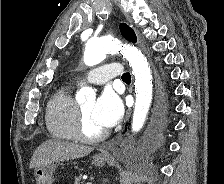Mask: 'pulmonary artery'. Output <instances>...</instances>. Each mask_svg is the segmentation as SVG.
<instances>
[{
    "label": "pulmonary artery",
    "mask_w": 224,
    "mask_h": 184,
    "mask_svg": "<svg viewBox=\"0 0 224 184\" xmlns=\"http://www.w3.org/2000/svg\"><path fill=\"white\" fill-rule=\"evenodd\" d=\"M123 74L124 72L119 63L111 62L85 73L83 77L89 83L102 85L112 78L122 76Z\"/></svg>",
    "instance_id": "pulmonary-artery-1"
}]
</instances>
